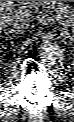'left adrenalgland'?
<instances>
[{
	"instance_id": "1",
	"label": "left adrenal gland",
	"mask_w": 74,
	"mask_h": 122,
	"mask_svg": "<svg viewBox=\"0 0 74 122\" xmlns=\"http://www.w3.org/2000/svg\"><path fill=\"white\" fill-rule=\"evenodd\" d=\"M63 30H65L64 33H66L68 35V32L66 31V29H63Z\"/></svg>"
}]
</instances>
